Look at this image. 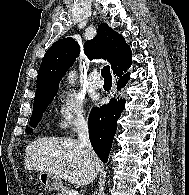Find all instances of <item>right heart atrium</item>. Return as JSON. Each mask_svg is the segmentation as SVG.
<instances>
[{
    "label": "right heart atrium",
    "instance_id": "d8ad5b80",
    "mask_svg": "<svg viewBox=\"0 0 189 195\" xmlns=\"http://www.w3.org/2000/svg\"><path fill=\"white\" fill-rule=\"evenodd\" d=\"M58 121L61 132L75 130L87 123L84 100L72 90H61L56 98Z\"/></svg>",
    "mask_w": 189,
    "mask_h": 195
}]
</instances>
